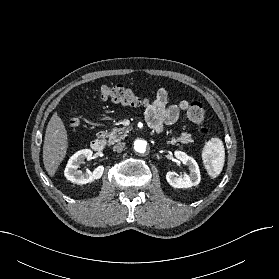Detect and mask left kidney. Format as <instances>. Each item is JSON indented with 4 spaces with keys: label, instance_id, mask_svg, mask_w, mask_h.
Here are the masks:
<instances>
[{
    "label": "left kidney",
    "instance_id": "obj_1",
    "mask_svg": "<svg viewBox=\"0 0 279 279\" xmlns=\"http://www.w3.org/2000/svg\"><path fill=\"white\" fill-rule=\"evenodd\" d=\"M175 157L183 164L188 165L189 174H183L181 177H176L174 172H167L166 180L174 188H190L200 183L201 175L197 162L182 151H175Z\"/></svg>",
    "mask_w": 279,
    "mask_h": 279
}]
</instances>
